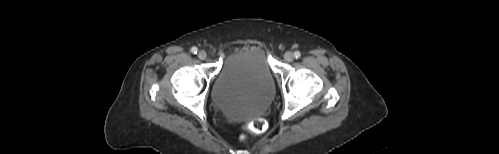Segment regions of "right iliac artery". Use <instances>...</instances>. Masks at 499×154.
Segmentation results:
<instances>
[{
	"mask_svg": "<svg viewBox=\"0 0 499 154\" xmlns=\"http://www.w3.org/2000/svg\"><path fill=\"white\" fill-rule=\"evenodd\" d=\"M197 51H198V49L196 47H192L191 48V52L192 53L197 54Z\"/></svg>",
	"mask_w": 499,
	"mask_h": 154,
	"instance_id": "right-iliac-artery-1",
	"label": "right iliac artery"
}]
</instances>
